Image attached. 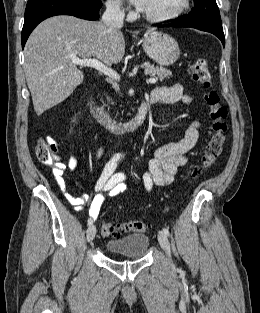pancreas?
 Wrapping results in <instances>:
<instances>
[{"instance_id":"obj_1","label":"pancreas","mask_w":260,"mask_h":313,"mask_svg":"<svg viewBox=\"0 0 260 313\" xmlns=\"http://www.w3.org/2000/svg\"><path fill=\"white\" fill-rule=\"evenodd\" d=\"M142 68L144 69L146 75H151V76L156 75L160 80H163L165 78H169L172 76V73L170 70L163 68V67L154 66L153 64L149 62L143 63Z\"/></svg>"}]
</instances>
